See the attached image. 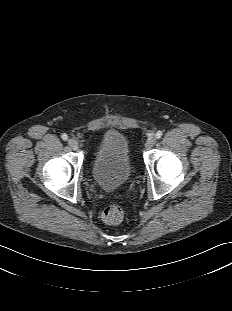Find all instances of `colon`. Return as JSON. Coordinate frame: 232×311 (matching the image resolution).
Masks as SVG:
<instances>
[{
    "instance_id": "obj_1",
    "label": "colon",
    "mask_w": 232,
    "mask_h": 311,
    "mask_svg": "<svg viewBox=\"0 0 232 311\" xmlns=\"http://www.w3.org/2000/svg\"><path fill=\"white\" fill-rule=\"evenodd\" d=\"M126 194V190H120L117 192V196H123ZM124 216V212L122 208L116 204L109 205L106 207L102 212V219L105 223L110 225H116L119 224Z\"/></svg>"
}]
</instances>
